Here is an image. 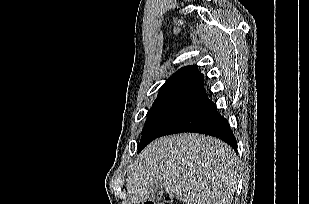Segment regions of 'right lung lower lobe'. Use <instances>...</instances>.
<instances>
[{
    "instance_id": "1",
    "label": "right lung lower lobe",
    "mask_w": 309,
    "mask_h": 204,
    "mask_svg": "<svg viewBox=\"0 0 309 204\" xmlns=\"http://www.w3.org/2000/svg\"><path fill=\"white\" fill-rule=\"evenodd\" d=\"M182 132H195L217 137L237 151V142L227 119L217 112L216 105L210 100L184 114L159 137Z\"/></svg>"
}]
</instances>
